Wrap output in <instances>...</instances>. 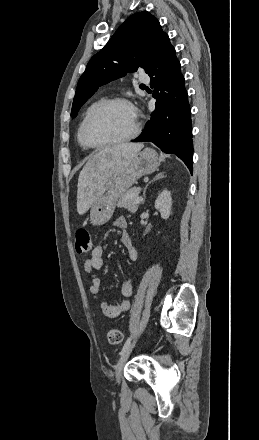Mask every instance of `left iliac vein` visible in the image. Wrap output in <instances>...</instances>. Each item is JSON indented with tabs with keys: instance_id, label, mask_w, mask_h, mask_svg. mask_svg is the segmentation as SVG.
Instances as JSON below:
<instances>
[{
	"instance_id": "obj_1",
	"label": "left iliac vein",
	"mask_w": 259,
	"mask_h": 440,
	"mask_svg": "<svg viewBox=\"0 0 259 440\" xmlns=\"http://www.w3.org/2000/svg\"><path fill=\"white\" fill-rule=\"evenodd\" d=\"M137 339H135L128 347L127 349L124 351V353L121 355L117 366H116V371H115V378H116V382L119 384L120 380H121V374H122V370L123 367L125 365V362L127 361L130 353L132 352L135 344H136Z\"/></svg>"
}]
</instances>
